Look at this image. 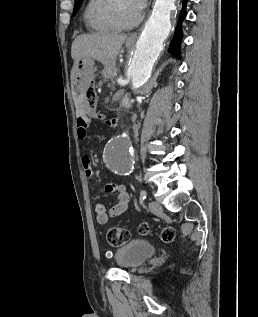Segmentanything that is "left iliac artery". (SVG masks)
I'll return each instance as SVG.
<instances>
[{"label":"left iliac artery","instance_id":"obj_1","mask_svg":"<svg viewBox=\"0 0 258 317\" xmlns=\"http://www.w3.org/2000/svg\"><path fill=\"white\" fill-rule=\"evenodd\" d=\"M140 198L143 200L147 198V191L146 190L140 191Z\"/></svg>","mask_w":258,"mask_h":317}]
</instances>
